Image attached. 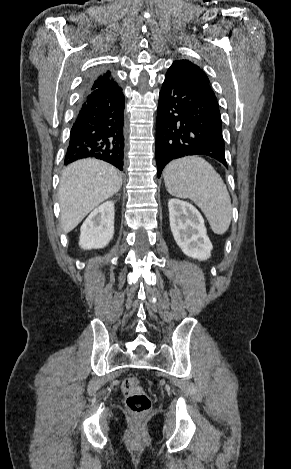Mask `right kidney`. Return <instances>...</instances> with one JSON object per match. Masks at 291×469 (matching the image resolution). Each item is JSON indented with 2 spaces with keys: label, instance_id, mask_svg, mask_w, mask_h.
I'll return each instance as SVG.
<instances>
[{
  "label": "right kidney",
  "instance_id": "right-kidney-1",
  "mask_svg": "<svg viewBox=\"0 0 291 469\" xmlns=\"http://www.w3.org/2000/svg\"><path fill=\"white\" fill-rule=\"evenodd\" d=\"M114 202L107 201L93 210L80 229L79 246L84 250L108 245L114 234Z\"/></svg>",
  "mask_w": 291,
  "mask_h": 469
}]
</instances>
